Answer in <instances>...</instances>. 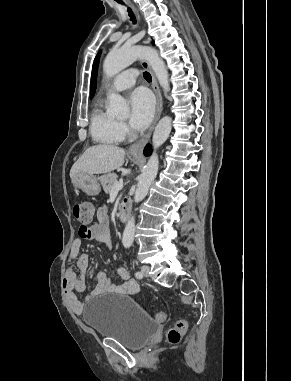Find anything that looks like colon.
Listing matches in <instances>:
<instances>
[{
	"label": "colon",
	"instance_id": "obj_1",
	"mask_svg": "<svg viewBox=\"0 0 291 381\" xmlns=\"http://www.w3.org/2000/svg\"><path fill=\"white\" fill-rule=\"evenodd\" d=\"M72 214L80 223V229H87L94 219V208L88 202H75L72 206ZM154 319L157 322H163L166 319L165 312H157L154 314ZM186 322L179 320L167 332V339L170 343H179L183 333L186 330Z\"/></svg>",
	"mask_w": 291,
	"mask_h": 381
}]
</instances>
